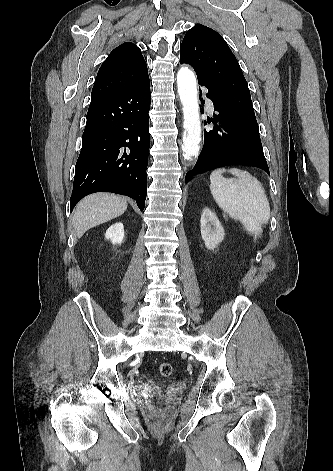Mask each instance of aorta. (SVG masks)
I'll return each mask as SVG.
<instances>
[{
	"label": "aorta",
	"mask_w": 333,
	"mask_h": 471,
	"mask_svg": "<svg viewBox=\"0 0 333 471\" xmlns=\"http://www.w3.org/2000/svg\"><path fill=\"white\" fill-rule=\"evenodd\" d=\"M177 86L183 105V157L192 160L199 153L201 122L198 94L194 73L188 67H181L177 73Z\"/></svg>",
	"instance_id": "762f6f07"
}]
</instances>
